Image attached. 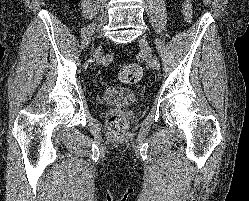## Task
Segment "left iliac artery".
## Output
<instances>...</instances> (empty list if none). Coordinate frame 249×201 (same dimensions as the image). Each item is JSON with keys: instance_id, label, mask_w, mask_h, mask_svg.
Wrapping results in <instances>:
<instances>
[{"instance_id": "1", "label": "left iliac artery", "mask_w": 249, "mask_h": 201, "mask_svg": "<svg viewBox=\"0 0 249 201\" xmlns=\"http://www.w3.org/2000/svg\"><path fill=\"white\" fill-rule=\"evenodd\" d=\"M155 65L157 69L160 67V63L157 58H155Z\"/></svg>"}]
</instances>
